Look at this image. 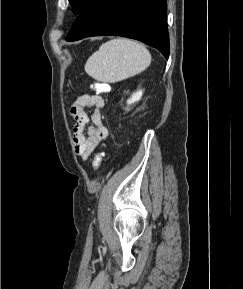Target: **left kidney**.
<instances>
[{
	"mask_svg": "<svg viewBox=\"0 0 243 289\" xmlns=\"http://www.w3.org/2000/svg\"><path fill=\"white\" fill-rule=\"evenodd\" d=\"M142 95H143V91L142 90H139V91L133 93L131 98L127 100V104L130 105L132 103H135V102L139 101L140 98L142 97Z\"/></svg>",
	"mask_w": 243,
	"mask_h": 289,
	"instance_id": "obj_1",
	"label": "left kidney"
}]
</instances>
